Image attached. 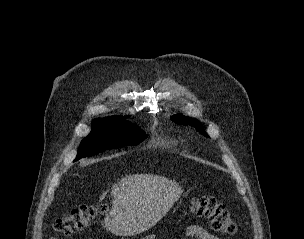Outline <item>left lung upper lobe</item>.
<instances>
[{"instance_id": "5c2ea615", "label": "left lung upper lobe", "mask_w": 304, "mask_h": 239, "mask_svg": "<svg viewBox=\"0 0 304 239\" xmlns=\"http://www.w3.org/2000/svg\"><path fill=\"white\" fill-rule=\"evenodd\" d=\"M171 120L177 124L194 126L201 134L208 137V135L204 131L201 123L197 119L189 118V117H185L181 114H177V115H173L171 117Z\"/></svg>"}]
</instances>
